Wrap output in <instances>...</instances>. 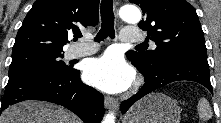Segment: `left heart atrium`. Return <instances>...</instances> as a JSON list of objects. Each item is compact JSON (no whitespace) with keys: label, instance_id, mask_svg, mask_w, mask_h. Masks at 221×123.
Segmentation results:
<instances>
[{"label":"left heart atrium","instance_id":"left-heart-atrium-1","mask_svg":"<svg viewBox=\"0 0 221 123\" xmlns=\"http://www.w3.org/2000/svg\"><path fill=\"white\" fill-rule=\"evenodd\" d=\"M83 76L85 81L106 92L126 89L133 80V71L116 53H106L100 58L89 60Z\"/></svg>","mask_w":221,"mask_h":123}]
</instances>
